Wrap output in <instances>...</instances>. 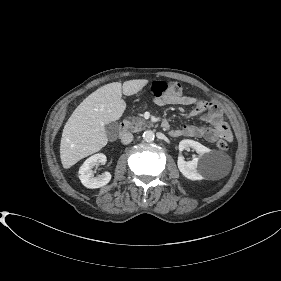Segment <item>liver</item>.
<instances>
[{
    "instance_id": "obj_1",
    "label": "liver",
    "mask_w": 281,
    "mask_h": 281,
    "mask_svg": "<svg viewBox=\"0 0 281 281\" xmlns=\"http://www.w3.org/2000/svg\"><path fill=\"white\" fill-rule=\"evenodd\" d=\"M148 80L113 82L86 97L66 122L60 143V158L65 169L101 150L108 142L105 125L120 119L126 109L122 93H138Z\"/></svg>"
}]
</instances>
